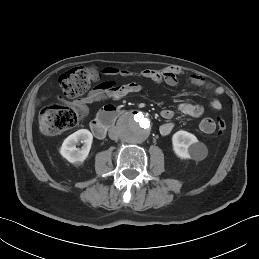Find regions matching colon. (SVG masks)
Masks as SVG:
<instances>
[{
  "label": "colon",
  "mask_w": 259,
  "mask_h": 259,
  "mask_svg": "<svg viewBox=\"0 0 259 259\" xmlns=\"http://www.w3.org/2000/svg\"><path fill=\"white\" fill-rule=\"evenodd\" d=\"M100 73L95 67H76L59 78V86L67 97L75 98L86 92L88 87L99 80ZM82 114L75 108L51 103L45 106L39 116V127L43 135L54 136L74 127ZM219 134L226 131L227 125L223 117L215 119Z\"/></svg>",
  "instance_id": "obj_1"
}]
</instances>
